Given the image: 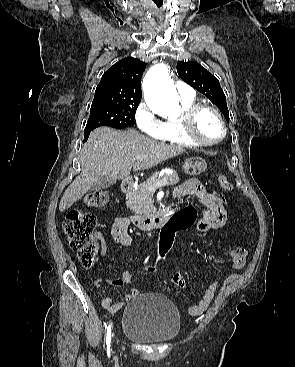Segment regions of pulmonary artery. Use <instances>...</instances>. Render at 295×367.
Returning <instances> with one entry per match:
<instances>
[{"label":"pulmonary artery","instance_id":"pulmonary-artery-1","mask_svg":"<svg viewBox=\"0 0 295 367\" xmlns=\"http://www.w3.org/2000/svg\"><path fill=\"white\" fill-rule=\"evenodd\" d=\"M179 98L181 100H193L195 98V91L189 85L178 81L176 83Z\"/></svg>","mask_w":295,"mask_h":367}]
</instances>
